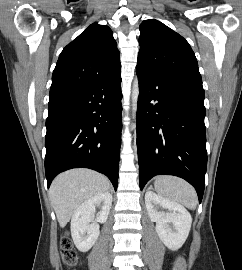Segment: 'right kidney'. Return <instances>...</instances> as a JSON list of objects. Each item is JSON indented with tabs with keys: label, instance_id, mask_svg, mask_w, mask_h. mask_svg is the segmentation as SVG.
I'll list each match as a JSON object with an SVG mask.
<instances>
[{
	"label": "right kidney",
	"instance_id": "right-kidney-1",
	"mask_svg": "<svg viewBox=\"0 0 242 270\" xmlns=\"http://www.w3.org/2000/svg\"><path fill=\"white\" fill-rule=\"evenodd\" d=\"M112 205V195L109 192L97 194L84 201L73 213L71 219V235L76 247L88 251L99 237V224L106 222ZM101 206L100 213L95 218V207ZM92 222L91 224H89Z\"/></svg>",
	"mask_w": 242,
	"mask_h": 270
}]
</instances>
